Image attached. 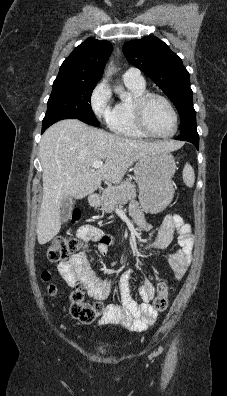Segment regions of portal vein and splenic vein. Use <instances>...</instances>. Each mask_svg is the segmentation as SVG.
<instances>
[{"mask_svg":"<svg viewBox=\"0 0 227 396\" xmlns=\"http://www.w3.org/2000/svg\"><path fill=\"white\" fill-rule=\"evenodd\" d=\"M103 166V162L102 161H95L92 163V167L95 169L101 168Z\"/></svg>","mask_w":227,"mask_h":396,"instance_id":"portal-vein-and-splenic-vein-1","label":"portal vein and splenic vein"}]
</instances>
